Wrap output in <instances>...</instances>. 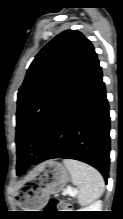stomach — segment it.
<instances>
[{
  "mask_svg": "<svg viewBox=\"0 0 123 219\" xmlns=\"http://www.w3.org/2000/svg\"><path fill=\"white\" fill-rule=\"evenodd\" d=\"M69 181L68 169L55 160L37 166L27 182L17 192L18 205L23 211H39L48 202L49 196L57 194Z\"/></svg>",
  "mask_w": 123,
  "mask_h": 219,
  "instance_id": "obj_1",
  "label": "stomach"
}]
</instances>
